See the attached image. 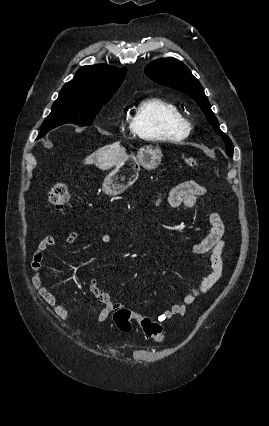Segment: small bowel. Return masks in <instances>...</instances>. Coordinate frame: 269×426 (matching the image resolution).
Returning a JSON list of instances; mask_svg holds the SVG:
<instances>
[{
	"mask_svg": "<svg viewBox=\"0 0 269 426\" xmlns=\"http://www.w3.org/2000/svg\"><path fill=\"white\" fill-rule=\"evenodd\" d=\"M205 194L206 189L203 186L195 181L188 180L175 186L165 198L169 207L172 209H177L180 206L194 209L198 205L199 198ZM163 198V196H160L157 204H160ZM207 221L210 230L203 239L192 246V252L199 256L210 254L209 266L203 270L198 285L191 292L187 293L181 302L175 303L157 316L159 321L163 322L175 316L184 315L187 308L196 301L197 297L206 294L222 277L224 268L223 253L225 241L223 237L225 234V225L220 216L215 212L208 214ZM79 235V231H73L68 236L67 242L69 244L74 243ZM111 238V235L106 232L100 236V241L108 243L111 241ZM54 245L55 239L52 236L43 238L38 244L31 260V268L34 271L31 282L40 297L51 307L53 313L57 316H64L67 313L66 308L60 303L59 298L47 286L43 285L41 276L45 252ZM90 289L95 297L103 304V309L98 316L99 321L106 320L114 310L122 306L121 303L111 299L98 279L91 281ZM140 318L142 316L135 313V319L138 321Z\"/></svg>",
	"mask_w": 269,
	"mask_h": 426,
	"instance_id": "c3829d8e",
	"label": "small bowel"
}]
</instances>
